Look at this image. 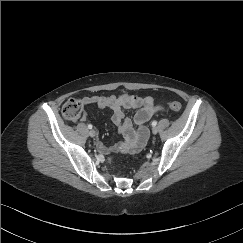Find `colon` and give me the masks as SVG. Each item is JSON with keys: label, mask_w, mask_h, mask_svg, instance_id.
<instances>
[{"label": "colon", "mask_w": 243, "mask_h": 243, "mask_svg": "<svg viewBox=\"0 0 243 243\" xmlns=\"http://www.w3.org/2000/svg\"><path fill=\"white\" fill-rule=\"evenodd\" d=\"M167 107L175 112H178L182 109V105L178 101L169 102ZM82 109L83 105L81 101L77 99H68L62 106L61 115L66 120L76 121L81 114ZM109 162H112L111 158H109Z\"/></svg>", "instance_id": "obj_1"}]
</instances>
